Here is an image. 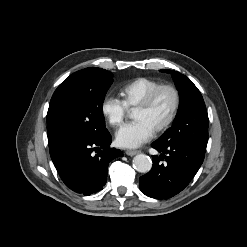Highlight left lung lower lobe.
<instances>
[{
  "label": "left lung lower lobe",
  "instance_id": "0a47b994",
  "mask_svg": "<svg viewBox=\"0 0 247 247\" xmlns=\"http://www.w3.org/2000/svg\"><path fill=\"white\" fill-rule=\"evenodd\" d=\"M152 147L162 154L153 156L152 169L140 177V190L148 197L159 199L170 198L189 184L202 165L206 151L189 141L156 140ZM163 158L164 164L160 162Z\"/></svg>",
  "mask_w": 247,
  "mask_h": 247
}]
</instances>
